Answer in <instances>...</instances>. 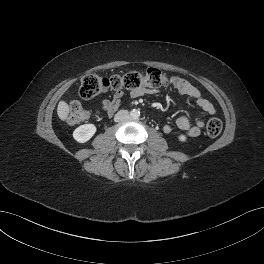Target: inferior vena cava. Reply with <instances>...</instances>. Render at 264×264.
I'll return each instance as SVG.
<instances>
[{
  "instance_id": "obj_1",
  "label": "inferior vena cava",
  "mask_w": 264,
  "mask_h": 264,
  "mask_svg": "<svg viewBox=\"0 0 264 264\" xmlns=\"http://www.w3.org/2000/svg\"><path fill=\"white\" fill-rule=\"evenodd\" d=\"M129 116H130V114H129L128 110H120L115 115L114 121L115 122L124 121V120H127L129 118Z\"/></svg>"
}]
</instances>
